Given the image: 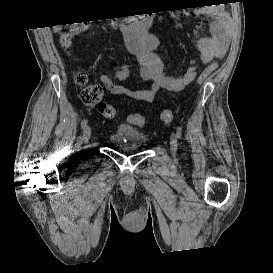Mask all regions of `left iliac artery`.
Instances as JSON below:
<instances>
[{"mask_svg":"<svg viewBox=\"0 0 273 273\" xmlns=\"http://www.w3.org/2000/svg\"><path fill=\"white\" fill-rule=\"evenodd\" d=\"M176 134H177V137L180 139L181 135H182L180 128H177V133Z\"/></svg>","mask_w":273,"mask_h":273,"instance_id":"obj_1","label":"left iliac artery"}]
</instances>
